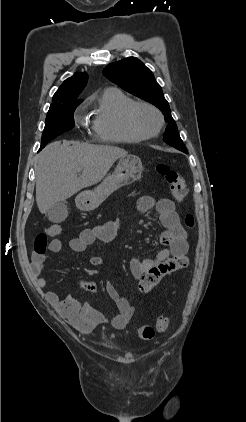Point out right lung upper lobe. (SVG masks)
<instances>
[{"instance_id": "obj_1", "label": "right lung upper lobe", "mask_w": 246, "mask_h": 422, "mask_svg": "<svg viewBox=\"0 0 246 422\" xmlns=\"http://www.w3.org/2000/svg\"><path fill=\"white\" fill-rule=\"evenodd\" d=\"M87 80V73H75L74 76L66 79L54 94L52 100L53 103L50 107L74 102H82L81 99H78V96L86 86Z\"/></svg>"}]
</instances>
